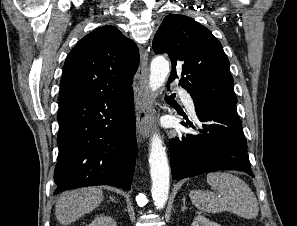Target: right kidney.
I'll list each match as a JSON object with an SVG mask.
<instances>
[{
  "mask_svg": "<svg viewBox=\"0 0 297 226\" xmlns=\"http://www.w3.org/2000/svg\"><path fill=\"white\" fill-rule=\"evenodd\" d=\"M87 226H117V224L114 221V219H112L111 217L101 216V217H97L94 221H92Z\"/></svg>",
  "mask_w": 297,
  "mask_h": 226,
  "instance_id": "1",
  "label": "right kidney"
}]
</instances>
